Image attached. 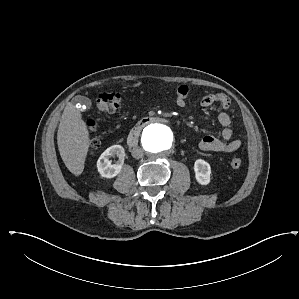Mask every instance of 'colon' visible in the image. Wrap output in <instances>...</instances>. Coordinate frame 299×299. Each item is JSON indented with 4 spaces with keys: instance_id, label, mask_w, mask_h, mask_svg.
Wrapping results in <instances>:
<instances>
[{
    "instance_id": "obj_1",
    "label": "colon",
    "mask_w": 299,
    "mask_h": 299,
    "mask_svg": "<svg viewBox=\"0 0 299 299\" xmlns=\"http://www.w3.org/2000/svg\"><path fill=\"white\" fill-rule=\"evenodd\" d=\"M122 102V97L116 92H102L99 94L97 99V109L103 113H113L118 110ZM90 128L94 127V122L88 123ZM100 145V141L97 137H92L90 142V153H95ZM231 166L235 169L241 167L242 160L235 157L231 160Z\"/></svg>"
}]
</instances>
